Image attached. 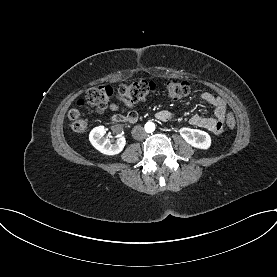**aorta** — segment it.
<instances>
[{"label": "aorta", "instance_id": "obj_1", "mask_svg": "<svg viewBox=\"0 0 277 277\" xmlns=\"http://www.w3.org/2000/svg\"><path fill=\"white\" fill-rule=\"evenodd\" d=\"M145 130L148 132V133H152L154 130H155V124L153 122H147L145 124Z\"/></svg>", "mask_w": 277, "mask_h": 277}]
</instances>
